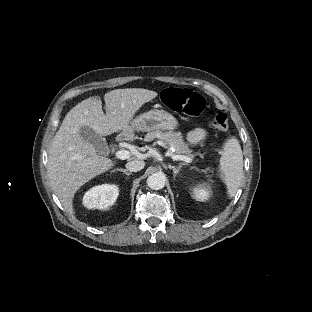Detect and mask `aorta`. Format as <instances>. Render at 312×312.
Wrapping results in <instances>:
<instances>
[{
    "mask_svg": "<svg viewBox=\"0 0 312 312\" xmlns=\"http://www.w3.org/2000/svg\"><path fill=\"white\" fill-rule=\"evenodd\" d=\"M166 182L165 175L162 173L151 174L147 178V186L152 190H160L164 188Z\"/></svg>",
    "mask_w": 312,
    "mask_h": 312,
    "instance_id": "aorta-1",
    "label": "aorta"
}]
</instances>
